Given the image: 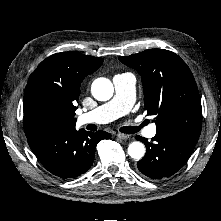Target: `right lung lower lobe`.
<instances>
[{
  "label": "right lung lower lobe",
  "mask_w": 221,
  "mask_h": 221,
  "mask_svg": "<svg viewBox=\"0 0 221 221\" xmlns=\"http://www.w3.org/2000/svg\"><path fill=\"white\" fill-rule=\"evenodd\" d=\"M24 131L30 148L42 165L63 179L85 173L92 166L97 143L111 137L104 131L93 133L49 125Z\"/></svg>",
  "instance_id": "1"
}]
</instances>
